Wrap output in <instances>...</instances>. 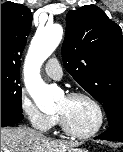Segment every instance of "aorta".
Returning a JSON list of instances; mask_svg holds the SVG:
<instances>
[{
	"label": "aorta",
	"instance_id": "aorta-1",
	"mask_svg": "<svg viewBox=\"0 0 123 152\" xmlns=\"http://www.w3.org/2000/svg\"><path fill=\"white\" fill-rule=\"evenodd\" d=\"M63 28L59 24L39 29L29 47L24 66L26 88L42 112L54 111L58 96L55 89L44 83L39 75L40 67L59 45Z\"/></svg>",
	"mask_w": 123,
	"mask_h": 152
}]
</instances>
